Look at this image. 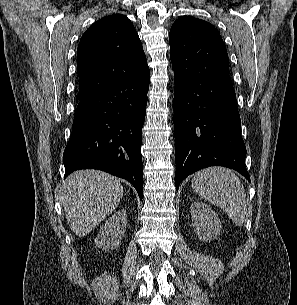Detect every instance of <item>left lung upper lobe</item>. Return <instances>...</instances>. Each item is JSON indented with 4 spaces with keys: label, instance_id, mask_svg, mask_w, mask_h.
<instances>
[{
    "label": "left lung upper lobe",
    "instance_id": "5c2ea615",
    "mask_svg": "<svg viewBox=\"0 0 297 305\" xmlns=\"http://www.w3.org/2000/svg\"><path fill=\"white\" fill-rule=\"evenodd\" d=\"M171 61L192 75H228V54L218 30L191 16L179 17L171 27Z\"/></svg>",
    "mask_w": 297,
    "mask_h": 305
}]
</instances>
